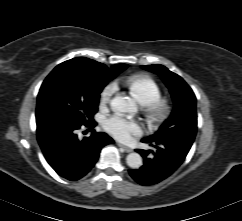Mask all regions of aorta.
Returning <instances> with one entry per match:
<instances>
[{"instance_id": "aorta-1", "label": "aorta", "mask_w": 242, "mask_h": 221, "mask_svg": "<svg viewBox=\"0 0 242 221\" xmlns=\"http://www.w3.org/2000/svg\"><path fill=\"white\" fill-rule=\"evenodd\" d=\"M111 107L122 113H131L136 111V105L133 99L127 96H116L111 100ZM127 165L132 169H138L142 166V157L136 152H132L126 157Z\"/></svg>"}]
</instances>
